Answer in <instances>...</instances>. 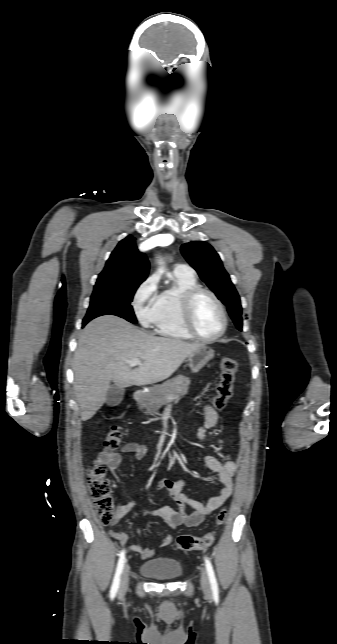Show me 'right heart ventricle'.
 Returning a JSON list of instances; mask_svg holds the SVG:
<instances>
[{
    "label": "right heart ventricle",
    "mask_w": 337,
    "mask_h": 644,
    "mask_svg": "<svg viewBox=\"0 0 337 644\" xmlns=\"http://www.w3.org/2000/svg\"><path fill=\"white\" fill-rule=\"evenodd\" d=\"M175 286L165 289L159 294L158 312L154 320V330L157 334L177 339L191 340L181 320V300L184 293L199 286L194 273L174 271Z\"/></svg>",
    "instance_id": "1"
}]
</instances>
